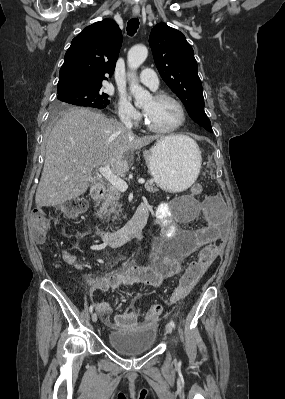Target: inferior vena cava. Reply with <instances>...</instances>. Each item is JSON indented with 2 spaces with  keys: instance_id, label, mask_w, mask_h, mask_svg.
Segmentation results:
<instances>
[{
  "instance_id": "602c4592",
  "label": "inferior vena cava",
  "mask_w": 285,
  "mask_h": 399,
  "mask_svg": "<svg viewBox=\"0 0 285 399\" xmlns=\"http://www.w3.org/2000/svg\"><path fill=\"white\" fill-rule=\"evenodd\" d=\"M121 121H122V123L124 124V126H125V128H126L127 130H131L133 124H132V122H131V120H130L129 117H127V116H122V117H121Z\"/></svg>"
}]
</instances>
